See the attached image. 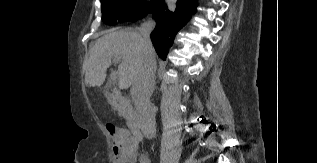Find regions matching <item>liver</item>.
<instances>
[{"mask_svg": "<svg viewBox=\"0 0 317 163\" xmlns=\"http://www.w3.org/2000/svg\"><path fill=\"white\" fill-rule=\"evenodd\" d=\"M155 56V53H154ZM112 58H119L118 81L120 88L133 85L142 63V37L132 29L111 31L97 39L91 49L85 69V84L101 86Z\"/></svg>", "mask_w": 317, "mask_h": 163, "instance_id": "1", "label": "liver"}]
</instances>
